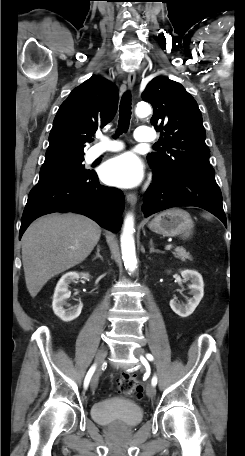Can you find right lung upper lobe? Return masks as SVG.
<instances>
[{"instance_id":"cb5924a9","label":"right lung upper lobe","mask_w":245,"mask_h":456,"mask_svg":"<svg viewBox=\"0 0 245 456\" xmlns=\"http://www.w3.org/2000/svg\"><path fill=\"white\" fill-rule=\"evenodd\" d=\"M117 102L116 87L101 76L73 89L56 114L41 168L83 158L84 143L113 119Z\"/></svg>"}]
</instances>
